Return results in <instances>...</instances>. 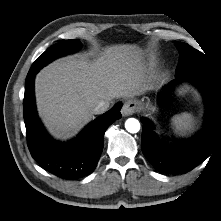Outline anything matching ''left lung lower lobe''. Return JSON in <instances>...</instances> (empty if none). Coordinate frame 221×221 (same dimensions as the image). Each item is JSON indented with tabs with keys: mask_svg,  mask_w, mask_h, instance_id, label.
Returning <instances> with one entry per match:
<instances>
[{
	"mask_svg": "<svg viewBox=\"0 0 221 221\" xmlns=\"http://www.w3.org/2000/svg\"><path fill=\"white\" fill-rule=\"evenodd\" d=\"M176 77L175 82L188 79L199 87L206 102V118L200 135L170 147L159 141L153 132L152 123L141 118L142 151L156 170L166 174L189 172L203 162L211 154L214 146L221 142V85L201 74Z\"/></svg>",
	"mask_w": 221,
	"mask_h": 221,
	"instance_id": "1",
	"label": "left lung lower lobe"
}]
</instances>
